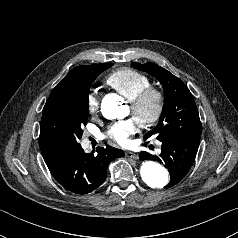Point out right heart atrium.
<instances>
[{"label":"right heart atrium","instance_id":"obj_1","mask_svg":"<svg viewBox=\"0 0 238 238\" xmlns=\"http://www.w3.org/2000/svg\"><path fill=\"white\" fill-rule=\"evenodd\" d=\"M99 94L97 91H91L86 98L87 110L90 114H95L99 110Z\"/></svg>","mask_w":238,"mask_h":238}]
</instances>
